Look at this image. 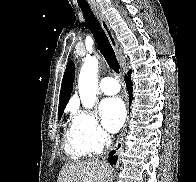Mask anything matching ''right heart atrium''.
<instances>
[{"label": "right heart atrium", "instance_id": "obj_1", "mask_svg": "<svg viewBox=\"0 0 196 182\" xmlns=\"http://www.w3.org/2000/svg\"><path fill=\"white\" fill-rule=\"evenodd\" d=\"M73 127L78 139L88 153H97L109 142V136L95 115L75 110Z\"/></svg>", "mask_w": 196, "mask_h": 182}]
</instances>
